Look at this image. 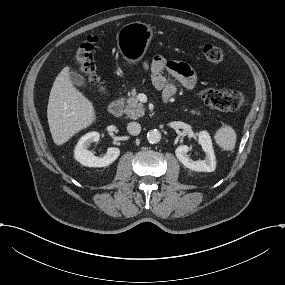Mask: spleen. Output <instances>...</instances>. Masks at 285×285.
<instances>
[{
  "label": "spleen",
  "instance_id": "spleen-1",
  "mask_svg": "<svg viewBox=\"0 0 285 285\" xmlns=\"http://www.w3.org/2000/svg\"><path fill=\"white\" fill-rule=\"evenodd\" d=\"M213 139L223 151L232 152L237 143V133L230 124H223L214 133Z\"/></svg>",
  "mask_w": 285,
  "mask_h": 285
}]
</instances>
